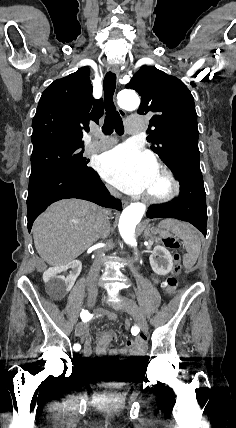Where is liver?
<instances>
[{
	"label": "liver",
	"mask_w": 236,
	"mask_h": 428,
	"mask_svg": "<svg viewBox=\"0 0 236 428\" xmlns=\"http://www.w3.org/2000/svg\"><path fill=\"white\" fill-rule=\"evenodd\" d=\"M105 210L84 200H60L33 224L34 246L49 266H64L109 236Z\"/></svg>",
	"instance_id": "liver-1"
}]
</instances>
